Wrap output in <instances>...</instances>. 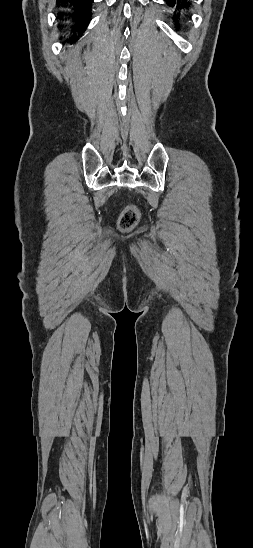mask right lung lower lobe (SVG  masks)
<instances>
[{
    "mask_svg": "<svg viewBox=\"0 0 253 548\" xmlns=\"http://www.w3.org/2000/svg\"><path fill=\"white\" fill-rule=\"evenodd\" d=\"M58 2H66L72 4L76 9L87 10V14L75 15V20L88 24L91 20V4L93 0H57ZM83 27L81 26V31Z\"/></svg>",
    "mask_w": 253,
    "mask_h": 548,
    "instance_id": "98d812e1",
    "label": "right lung lower lobe"
}]
</instances>
